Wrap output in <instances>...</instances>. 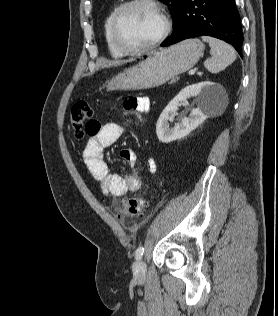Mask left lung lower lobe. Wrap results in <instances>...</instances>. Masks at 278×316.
<instances>
[{
    "label": "left lung lower lobe",
    "mask_w": 278,
    "mask_h": 316,
    "mask_svg": "<svg viewBox=\"0 0 278 316\" xmlns=\"http://www.w3.org/2000/svg\"><path fill=\"white\" fill-rule=\"evenodd\" d=\"M202 35L224 40L242 55L243 35L234 0H184L174 30L161 46Z\"/></svg>",
    "instance_id": "obj_1"
}]
</instances>
